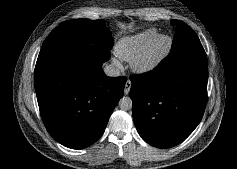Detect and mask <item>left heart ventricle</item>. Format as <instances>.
<instances>
[{
  "label": "left heart ventricle",
  "instance_id": "left-heart-ventricle-1",
  "mask_svg": "<svg viewBox=\"0 0 237 169\" xmlns=\"http://www.w3.org/2000/svg\"><path fill=\"white\" fill-rule=\"evenodd\" d=\"M167 46V40L165 38L160 39L154 45L153 49L150 52V57H155L160 54Z\"/></svg>",
  "mask_w": 237,
  "mask_h": 169
}]
</instances>
